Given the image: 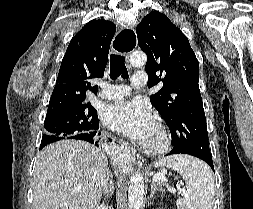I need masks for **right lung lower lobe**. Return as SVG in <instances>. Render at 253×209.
Segmentation results:
<instances>
[{
    "label": "right lung lower lobe",
    "mask_w": 253,
    "mask_h": 209,
    "mask_svg": "<svg viewBox=\"0 0 253 209\" xmlns=\"http://www.w3.org/2000/svg\"><path fill=\"white\" fill-rule=\"evenodd\" d=\"M98 128H99V121L95 124L93 131H90L89 133H83V134L73 136L74 137L73 139L84 140L98 146V143H99L98 135L101 134V133H97L96 130Z\"/></svg>",
    "instance_id": "obj_1"
}]
</instances>
